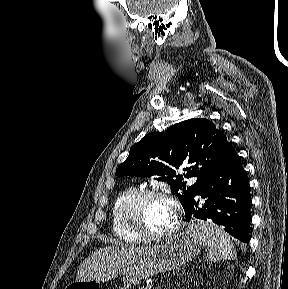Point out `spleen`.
Returning <instances> with one entry per match:
<instances>
[{"label":"spleen","mask_w":288,"mask_h":289,"mask_svg":"<svg viewBox=\"0 0 288 289\" xmlns=\"http://www.w3.org/2000/svg\"><path fill=\"white\" fill-rule=\"evenodd\" d=\"M191 230L207 248V258L209 261L237 259L234 245L223 227L215 225L212 222L199 221L191 226Z\"/></svg>","instance_id":"obj_1"}]
</instances>
